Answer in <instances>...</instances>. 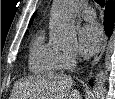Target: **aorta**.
Masks as SVG:
<instances>
[{
	"instance_id": "1",
	"label": "aorta",
	"mask_w": 115,
	"mask_h": 99,
	"mask_svg": "<svg viewBox=\"0 0 115 99\" xmlns=\"http://www.w3.org/2000/svg\"><path fill=\"white\" fill-rule=\"evenodd\" d=\"M79 0H54L50 19L51 41L60 47L75 45L77 33L75 18L81 6ZM106 73L101 70L95 77L93 99H104Z\"/></svg>"
}]
</instances>
